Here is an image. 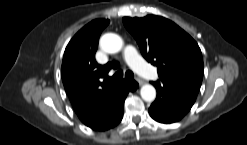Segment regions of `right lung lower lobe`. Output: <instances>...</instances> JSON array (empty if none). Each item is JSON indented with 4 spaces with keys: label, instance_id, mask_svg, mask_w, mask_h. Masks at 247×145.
I'll use <instances>...</instances> for the list:
<instances>
[{
    "label": "right lung lower lobe",
    "instance_id": "1",
    "mask_svg": "<svg viewBox=\"0 0 247 145\" xmlns=\"http://www.w3.org/2000/svg\"><path fill=\"white\" fill-rule=\"evenodd\" d=\"M137 87L138 83L134 80H122L109 104L88 120L83 121V123L98 131H104L116 126L123 117L124 101L127 94L135 91Z\"/></svg>",
    "mask_w": 247,
    "mask_h": 145
}]
</instances>
